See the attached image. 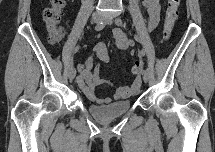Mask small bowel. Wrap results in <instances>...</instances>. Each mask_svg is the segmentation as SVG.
Segmentation results:
<instances>
[{
    "mask_svg": "<svg viewBox=\"0 0 215 152\" xmlns=\"http://www.w3.org/2000/svg\"><path fill=\"white\" fill-rule=\"evenodd\" d=\"M142 5L146 8L148 14L147 28L149 31H152L157 27L160 19L161 9L159 1L143 0ZM113 38L119 50L125 51L134 45L133 41L127 37L126 33L119 28L113 30ZM96 60L103 63H108L110 61V53L104 42L96 43L92 49V54L87 58L85 63L78 64L77 82L89 100L100 104H107L111 99L108 97H100L96 92V87L98 85L110 86L111 84L101 76ZM140 90L141 82L140 80H136L129 87L117 88L113 97L116 100L125 99L138 94Z\"/></svg>",
    "mask_w": 215,
    "mask_h": 152,
    "instance_id": "1",
    "label": "small bowel"
}]
</instances>
